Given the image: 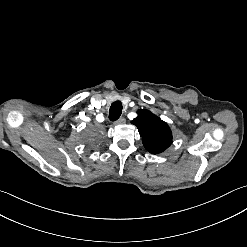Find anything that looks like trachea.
Segmentation results:
<instances>
[{
  "label": "trachea",
  "mask_w": 247,
  "mask_h": 247,
  "mask_svg": "<svg viewBox=\"0 0 247 247\" xmlns=\"http://www.w3.org/2000/svg\"><path fill=\"white\" fill-rule=\"evenodd\" d=\"M122 113V103L120 101H115L109 111V117L111 120L115 121L118 120Z\"/></svg>",
  "instance_id": "trachea-1"
}]
</instances>
